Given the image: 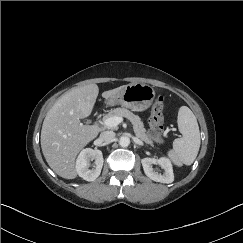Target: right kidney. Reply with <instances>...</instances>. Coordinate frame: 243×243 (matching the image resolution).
Instances as JSON below:
<instances>
[{
	"instance_id": "1",
	"label": "right kidney",
	"mask_w": 243,
	"mask_h": 243,
	"mask_svg": "<svg viewBox=\"0 0 243 243\" xmlns=\"http://www.w3.org/2000/svg\"><path fill=\"white\" fill-rule=\"evenodd\" d=\"M90 160H95V166L92 169H89ZM103 162V154L100 150L86 148L80 152L77 158L76 171L84 180L94 181L101 173Z\"/></svg>"
}]
</instances>
